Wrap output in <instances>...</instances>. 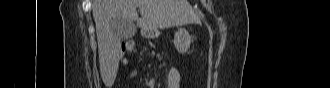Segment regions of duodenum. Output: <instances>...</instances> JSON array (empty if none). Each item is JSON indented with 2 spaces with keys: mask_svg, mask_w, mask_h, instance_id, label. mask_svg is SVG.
<instances>
[{
  "mask_svg": "<svg viewBox=\"0 0 330 88\" xmlns=\"http://www.w3.org/2000/svg\"><path fill=\"white\" fill-rule=\"evenodd\" d=\"M128 48L131 50L132 49V45H129Z\"/></svg>",
  "mask_w": 330,
  "mask_h": 88,
  "instance_id": "410a0bca",
  "label": "duodenum"
}]
</instances>
